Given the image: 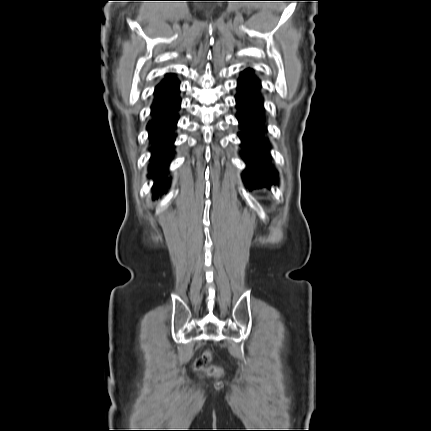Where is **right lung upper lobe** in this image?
<instances>
[{"mask_svg": "<svg viewBox=\"0 0 431 431\" xmlns=\"http://www.w3.org/2000/svg\"><path fill=\"white\" fill-rule=\"evenodd\" d=\"M172 79H174L173 77H171V76H169L165 81H163L158 87H160V86H162V85H164V84H166L168 81H170V80H172ZM157 87V88H158Z\"/></svg>", "mask_w": 431, "mask_h": 431, "instance_id": "1", "label": "right lung upper lobe"}]
</instances>
